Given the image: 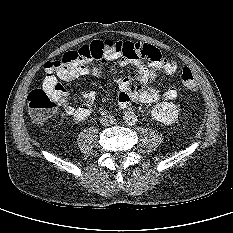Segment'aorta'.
I'll list each match as a JSON object with an SVG mask.
<instances>
[{
  "instance_id": "obj_1",
  "label": "aorta",
  "mask_w": 233,
  "mask_h": 233,
  "mask_svg": "<svg viewBox=\"0 0 233 233\" xmlns=\"http://www.w3.org/2000/svg\"><path fill=\"white\" fill-rule=\"evenodd\" d=\"M123 120L126 124L128 125H133L137 121V116L134 112L132 111H126L123 114Z\"/></svg>"
}]
</instances>
